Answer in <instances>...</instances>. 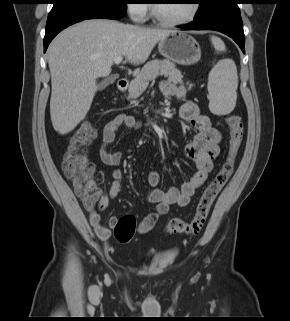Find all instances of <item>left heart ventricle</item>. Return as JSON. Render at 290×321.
I'll list each match as a JSON object with an SVG mask.
<instances>
[{
  "label": "left heart ventricle",
  "mask_w": 290,
  "mask_h": 321,
  "mask_svg": "<svg viewBox=\"0 0 290 321\" xmlns=\"http://www.w3.org/2000/svg\"><path fill=\"white\" fill-rule=\"evenodd\" d=\"M193 8L192 0H159L157 9L160 16L167 20H181L188 17Z\"/></svg>",
  "instance_id": "obj_1"
}]
</instances>
